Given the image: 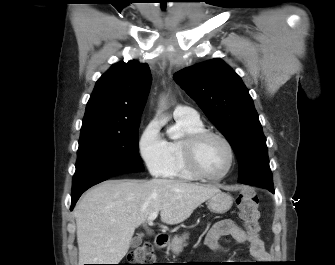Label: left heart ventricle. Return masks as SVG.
Listing matches in <instances>:
<instances>
[{"instance_id": "obj_1", "label": "left heart ventricle", "mask_w": 335, "mask_h": 265, "mask_svg": "<svg viewBox=\"0 0 335 265\" xmlns=\"http://www.w3.org/2000/svg\"><path fill=\"white\" fill-rule=\"evenodd\" d=\"M229 162V152L223 142L217 138L207 139L198 152L200 168L210 176L220 175Z\"/></svg>"}]
</instances>
